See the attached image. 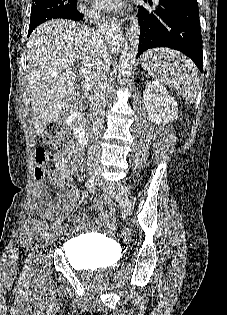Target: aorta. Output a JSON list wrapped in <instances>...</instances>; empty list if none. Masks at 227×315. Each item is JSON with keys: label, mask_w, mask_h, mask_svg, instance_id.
<instances>
[{"label": "aorta", "mask_w": 227, "mask_h": 315, "mask_svg": "<svg viewBox=\"0 0 227 315\" xmlns=\"http://www.w3.org/2000/svg\"><path fill=\"white\" fill-rule=\"evenodd\" d=\"M105 35L112 49L119 50L121 53L117 80L119 84H125L132 73L138 52L140 25L137 13L131 17L125 38L115 26L106 27Z\"/></svg>", "instance_id": "obj_1"}]
</instances>
